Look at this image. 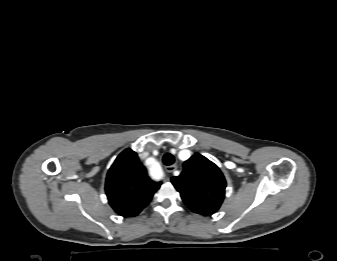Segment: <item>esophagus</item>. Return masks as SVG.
Listing matches in <instances>:
<instances>
[{
	"mask_svg": "<svg viewBox=\"0 0 337 261\" xmlns=\"http://www.w3.org/2000/svg\"><path fill=\"white\" fill-rule=\"evenodd\" d=\"M176 168H177L176 165H170V166L165 167V170H166V172L171 173V172L175 171Z\"/></svg>",
	"mask_w": 337,
	"mask_h": 261,
	"instance_id": "esophagus-1",
	"label": "esophagus"
}]
</instances>
